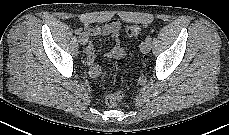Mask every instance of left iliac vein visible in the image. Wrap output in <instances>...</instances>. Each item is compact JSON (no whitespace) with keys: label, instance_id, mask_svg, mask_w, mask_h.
Listing matches in <instances>:
<instances>
[{"label":"left iliac vein","instance_id":"left-iliac-vein-1","mask_svg":"<svg viewBox=\"0 0 229 135\" xmlns=\"http://www.w3.org/2000/svg\"><path fill=\"white\" fill-rule=\"evenodd\" d=\"M150 49H151L150 42L145 41L142 45L143 52L147 54L150 51Z\"/></svg>","mask_w":229,"mask_h":135}]
</instances>
